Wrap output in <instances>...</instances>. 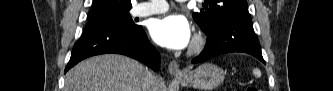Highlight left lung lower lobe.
<instances>
[{"instance_id":"1","label":"left lung lower lobe","mask_w":333,"mask_h":91,"mask_svg":"<svg viewBox=\"0 0 333 91\" xmlns=\"http://www.w3.org/2000/svg\"><path fill=\"white\" fill-rule=\"evenodd\" d=\"M206 36L205 48L199 56L192 60L194 64L231 52L248 53L265 63L250 15L223 19Z\"/></svg>"}]
</instances>
